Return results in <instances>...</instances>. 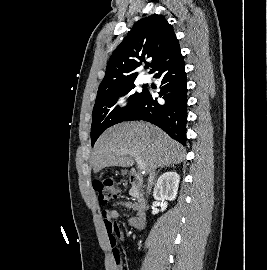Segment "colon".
Segmentation results:
<instances>
[{"instance_id": "obj_1", "label": "colon", "mask_w": 267, "mask_h": 270, "mask_svg": "<svg viewBox=\"0 0 267 270\" xmlns=\"http://www.w3.org/2000/svg\"><path fill=\"white\" fill-rule=\"evenodd\" d=\"M94 188L98 193V199L101 204H107L120 196V188L113 179L101 177L94 181ZM115 257L118 268L121 267V259L118 250H115Z\"/></svg>"}]
</instances>
